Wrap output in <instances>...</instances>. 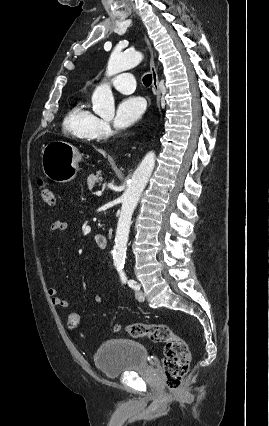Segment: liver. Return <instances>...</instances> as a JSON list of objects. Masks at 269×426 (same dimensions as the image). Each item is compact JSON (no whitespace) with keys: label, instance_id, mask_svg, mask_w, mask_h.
<instances>
[{"label":"liver","instance_id":"6515ba94","mask_svg":"<svg viewBox=\"0 0 269 426\" xmlns=\"http://www.w3.org/2000/svg\"><path fill=\"white\" fill-rule=\"evenodd\" d=\"M97 151H98L99 153L103 154V156H105L104 151H102V150H100V149H98Z\"/></svg>","mask_w":269,"mask_h":426}]
</instances>
